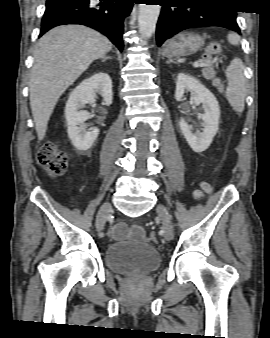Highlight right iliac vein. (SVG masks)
<instances>
[{"instance_id": "1", "label": "right iliac vein", "mask_w": 270, "mask_h": 338, "mask_svg": "<svg viewBox=\"0 0 270 338\" xmlns=\"http://www.w3.org/2000/svg\"><path fill=\"white\" fill-rule=\"evenodd\" d=\"M112 207L110 203H105L99 210L97 219H96V228L98 231H101L105 225L107 217L111 211Z\"/></svg>"}]
</instances>
